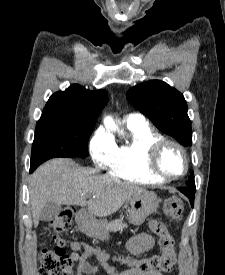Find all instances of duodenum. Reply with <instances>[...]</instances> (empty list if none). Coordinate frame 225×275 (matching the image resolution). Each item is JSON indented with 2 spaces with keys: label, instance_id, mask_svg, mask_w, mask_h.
Here are the masks:
<instances>
[{
  "label": "duodenum",
  "instance_id": "obj_1",
  "mask_svg": "<svg viewBox=\"0 0 225 275\" xmlns=\"http://www.w3.org/2000/svg\"><path fill=\"white\" fill-rule=\"evenodd\" d=\"M80 214H81V215H84V214H85V212H84V211H81V212H80Z\"/></svg>",
  "mask_w": 225,
  "mask_h": 275
}]
</instances>
